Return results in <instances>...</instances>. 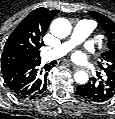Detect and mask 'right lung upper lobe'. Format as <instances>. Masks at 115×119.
Segmentation results:
<instances>
[{
  "instance_id": "right-lung-upper-lobe-1",
  "label": "right lung upper lobe",
  "mask_w": 115,
  "mask_h": 119,
  "mask_svg": "<svg viewBox=\"0 0 115 119\" xmlns=\"http://www.w3.org/2000/svg\"><path fill=\"white\" fill-rule=\"evenodd\" d=\"M57 13L58 10L37 8L16 27L5 43L1 56L2 72L40 62V39Z\"/></svg>"
}]
</instances>
